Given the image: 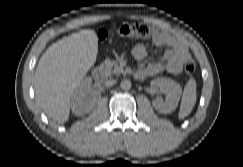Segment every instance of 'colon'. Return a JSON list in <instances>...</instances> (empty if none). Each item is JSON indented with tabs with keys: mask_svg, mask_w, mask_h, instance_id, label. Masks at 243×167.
<instances>
[{
	"mask_svg": "<svg viewBox=\"0 0 243 167\" xmlns=\"http://www.w3.org/2000/svg\"><path fill=\"white\" fill-rule=\"evenodd\" d=\"M119 34L130 40L142 39L149 40L154 36L153 30L146 24L134 23L124 24L119 28ZM106 32H101V37H106ZM196 63L193 59H188L184 65V71L187 75H192L195 72Z\"/></svg>",
	"mask_w": 243,
	"mask_h": 167,
	"instance_id": "obj_1",
	"label": "colon"
}]
</instances>
